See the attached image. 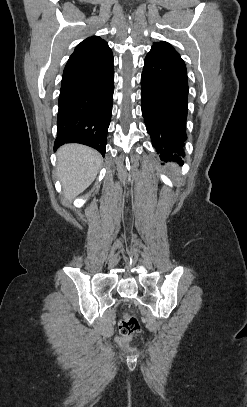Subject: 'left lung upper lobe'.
Instances as JSON below:
<instances>
[{
	"label": "left lung upper lobe",
	"instance_id": "1",
	"mask_svg": "<svg viewBox=\"0 0 247 407\" xmlns=\"http://www.w3.org/2000/svg\"><path fill=\"white\" fill-rule=\"evenodd\" d=\"M151 49L180 57L179 53L167 42L153 43V46Z\"/></svg>",
	"mask_w": 247,
	"mask_h": 407
}]
</instances>
